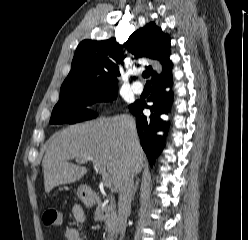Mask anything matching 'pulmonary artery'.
Here are the masks:
<instances>
[{"instance_id": "obj_1", "label": "pulmonary artery", "mask_w": 248, "mask_h": 240, "mask_svg": "<svg viewBox=\"0 0 248 240\" xmlns=\"http://www.w3.org/2000/svg\"><path fill=\"white\" fill-rule=\"evenodd\" d=\"M132 90L136 94L142 93V91H143V84L141 82H139V81H135L132 84Z\"/></svg>"}]
</instances>
